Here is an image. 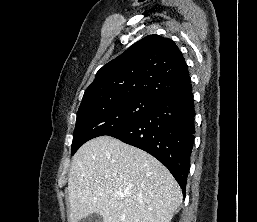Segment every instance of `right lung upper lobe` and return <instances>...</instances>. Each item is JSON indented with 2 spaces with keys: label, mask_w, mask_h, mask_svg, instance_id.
<instances>
[{
  "label": "right lung upper lobe",
  "mask_w": 257,
  "mask_h": 222,
  "mask_svg": "<svg viewBox=\"0 0 257 222\" xmlns=\"http://www.w3.org/2000/svg\"><path fill=\"white\" fill-rule=\"evenodd\" d=\"M191 88L188 66L174 41L149 35L96 73L81 104L97 98L136 96L160 102Z\"/></svg>",
  "instance_id": "right-lung-upper-lobe-1"
}]
</instances>
